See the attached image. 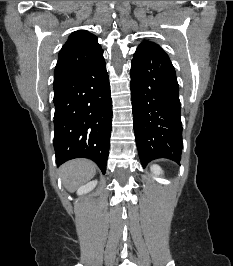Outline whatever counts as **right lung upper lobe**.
Wrapping results in <instances>:
<instances>
[{"label": "right lung upper lobe", "mask_w": 233, "mask_h": 266, "mask_svg": "<svg viewBox=\"0 0 233 266\" xmlns=\"http://www.w3.org/2000/svg\"><path fill=\"white\" fill-rule=\"evenodd\" d=\"M102 55L103 50L95 35L86 30L73 32L59 52L54 85L83 71Z\"/></svg>", "instance_id": "1"}]
</instances>
